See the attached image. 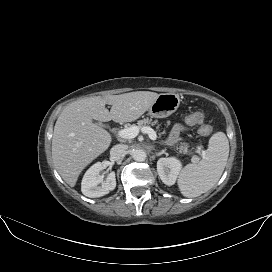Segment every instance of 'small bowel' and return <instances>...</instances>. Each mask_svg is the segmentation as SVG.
<instances>
[{
    "label": "small bowel",
    "mask_w": 272,
    "mask_h": 272,
    "mask_svg": "<svg viewBox=\"0 0 272 272\" xmlns=\"http://www.w3.org/2000/svg\"><path fill=\"white\" fill-rule=\"evenodd\" d=\"M185 130H186V127L184 125L182 124L175 125L169 134V137H168L169 143L173 144L179 141L181 133L184 132Z\"/></svg>",
    "instance_id": "c3829d8e"
}]
</instances>
